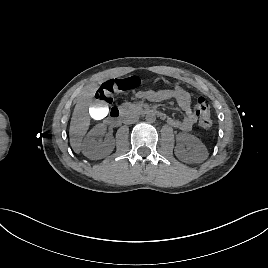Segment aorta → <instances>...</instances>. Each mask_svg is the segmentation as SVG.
<instances>
[{
	"mask_svg": "<svg viewBox=\"0 0 268 268\" xmlns=\"http://www.w3.org/2000/svg\"><path fill=\"white\" fill-rule=\"evenodd\" d=\"M146 121L148 123H153L156 121V116L153 112H148L145 117Z\"/></svg>",
	"mask_w": 268,
	"mask_h": 268,
	"instance_id": "aorta-1",
	"label": "aorta"
}]
</instances>
